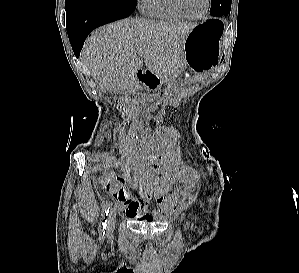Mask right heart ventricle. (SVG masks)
I'll return each instance as SVG.
<instances>
[{
    "label": "right heart ventricle",
    "mask_w": 299,
    "mask_h": 273,
    "mask_svg": "<svg viewBox=\"0 0 299 273\" xmlns=\"http://www.w3.org/2000/svg\"><path fill=\"white\" fill-rule=\"evenodd\" d=\"M144 13L152 18L165 21H180L186 17L176 8L173 0H144Z\"/></svg>",
    "instance_id": "right-heart-ventricle-1"
}]
</instances>
